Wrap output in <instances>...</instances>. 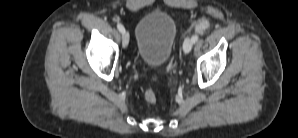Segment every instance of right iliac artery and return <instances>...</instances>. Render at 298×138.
<instances>
[{"instance_id":"82829eb1","label":"right iliac artery","mask_w":298,"mask_h":138,"mask_svg":"<svg viewBox=\"0 0 298 138\" xmlns=\"http://www.w3.org/2000/svg\"><path fill=\"white\" fill-rule=\"evenodd\" d=\"M117 27H118L119 30H122L123 29V27H122L121 24H118Z\"/></svg>"}]
</instances>
